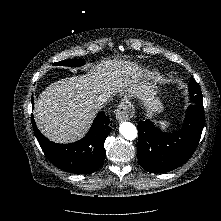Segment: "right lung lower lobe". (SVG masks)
<instances>
[{"instance_id": "1", "label": "right lung lower lobe", "mask_w": 221, "mask_h": 221, "mask_svg": "<svg viewBox=\"0 0 221 221\" xmlns=\"http://www.w3.org/2000/svg\"><path fill=\"white\" fill-rule=\"evenodd\" d=\"M109 123V118L100 112L82 140L71 144H56L42 135L32 117L34 133L47 158L56 167L75 174L92 173L102 166L105 158L104 142L111 129Z\"/></svg>"}]
</instances>
